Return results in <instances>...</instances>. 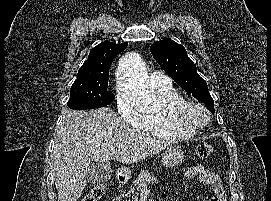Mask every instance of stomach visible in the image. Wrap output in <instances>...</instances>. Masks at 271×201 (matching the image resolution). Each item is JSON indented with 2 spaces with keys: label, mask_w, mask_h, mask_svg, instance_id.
<instances>
[{
  "label": "stomach",
  "mask_w": 271,
  "mask_h": 201,
  "mask_svg": "<svg viewBox=\"0 0 271 201\" xmlns=\"http://www.w3.org/2000/svg\"><path fill=\"white\" fill-rule=\"evenodd\" d=\"M185 159V151L178 146L168 147L162 154L161 163L167 168L180 165ZM128 173L127 170H124Z\"/></svg>",
  "instance_id": "obj_1"
}]
</instances>
